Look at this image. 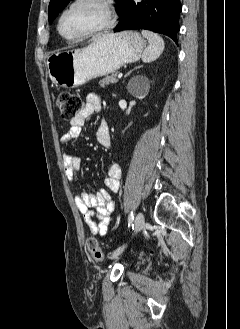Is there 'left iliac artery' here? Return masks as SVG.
Instances as JSON below:
<instances>
[{"label":"left iliac artery","instance_id":"1","mask_svg":"<svg viewBox=\"0 0 240 329\" xmlns=\"http://www.w3.org/2000/svg\"><path fill=\"white\" fill-rule=\"evenodd\" d=\"M133 221H134V215H133V212H131L128 217V227H130L132 225Z\"/></svg>","mask_w":240,"mask_h":329}]
</instances>
